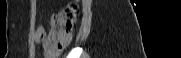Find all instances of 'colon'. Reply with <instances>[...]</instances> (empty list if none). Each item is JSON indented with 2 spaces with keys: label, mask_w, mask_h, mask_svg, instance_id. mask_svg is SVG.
<instances>
[{
  "label": "colon",
  "mask_w": 181,
  "mask_h": 58,
  "mask_svg": "<svg viewBox=\"0 0 181 58\" xmlns=\"http://www.w3.org/2000/svg\"><path fill=\"white\" fill-rule=\"evenodd\" d=\"M76 12L77 5L72 3L63 7L52 17L51 31L46 39L48 49L60 52L70 43Z\"/></svg>",
  "instance_id": "obj_1"
}]
</instances>
